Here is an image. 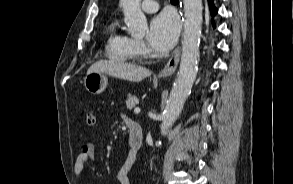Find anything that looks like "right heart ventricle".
Wrapping results in <instances>:
<instances>
[{
  "label": "right heart ventricle",
  "mask_w": 293,
  "mask_h": 184,
  "mask_svg": "<svg viewBox=\"0 0 293 184\" xmlns=\"http://www.w3.org/2000/svg\"><path fill=\"white\" fill-rule=\"evenodd\" d=\"M105 54L109 59L119 62L134 61L138 56L134 39L119 29L118 21H113L108 27Z\"/></svg>",
  "instance_id": "1"
}]
</instances>
